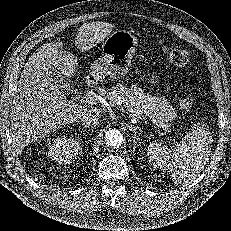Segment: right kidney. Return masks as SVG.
I'll return each mask as SVG.
<instances>
[{
    "label": "right kidney",
    "instance_id": "obj_1",
    "mask_svg": "<svg viewBox=\"0 0 231 231\" xmlns=\"http://www.w3.org/2000/svg\"><path fill=\"white\" fill-rule=\"evenodd\" d=\"M48 155L59 164L72 162L79 151V142L66 136H58L48 143Z\"/></svg>",
    "mask_w": 231,
    "mask_h": 231
}]
</instances>
